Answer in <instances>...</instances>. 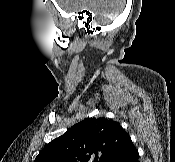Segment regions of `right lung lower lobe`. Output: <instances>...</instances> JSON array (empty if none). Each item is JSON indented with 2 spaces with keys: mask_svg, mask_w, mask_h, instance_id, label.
<instances>
[{
  "mask_svg": "<svg viewBox=\"0 0 175 162\" xmlns=\"http://www.w3.org/2000/svg\"><path fill=\"white\" fill-rule=\"evenodd\" d=\"M138 151L133 145L129 150L116 156L111 162H138Z\"/></svg>",
  "mask_w": 175,
  "mask_h": 162,
  "instance_id": "1",
  "label": "right lung lower lobe"
}]
</instances>
